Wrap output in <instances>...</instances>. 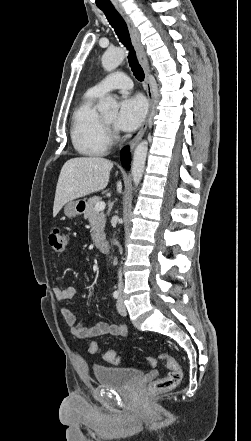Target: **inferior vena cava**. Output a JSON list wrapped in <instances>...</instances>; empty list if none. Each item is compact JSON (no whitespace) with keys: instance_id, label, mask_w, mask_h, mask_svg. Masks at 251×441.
Listing matches in <instances>:
<instances>
[{"instance_id":"1","label":"inferior vena cava","mask_w":251,"mask_h":441,"mask_svg":"<svg viewBox=\"0 0 251 441\" xmlns=\"http://www.w3.org/2000/svg\"><path fill=\"white\" fill-rule=\"evenodd\" d=\"M123 282H122V272L121 269L118 271V289L122 290Z\"/></svg>"}]
</instances>
